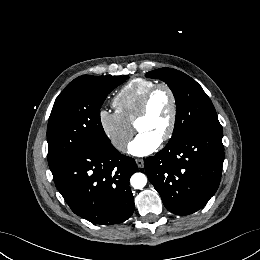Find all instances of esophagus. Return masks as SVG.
Here are the masks:
<instances>
[{
    "label": "esophagus",
    "instance_id": "34e87169",
    "mask_svg": "<svg viewBox=\"0 0 260 260\" xmlns=\"http://www.w3.org/2000/svg\"><path fill=\"white\" fill-rule=\"evenodd\" d=\"M136 164L139 168H142L144 166V160L143 159H136Z\"/></svg>",
    "mask_w": 260,
    "mask_h": 260
}]
</instances>
